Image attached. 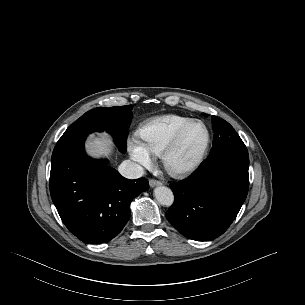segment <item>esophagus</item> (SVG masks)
<instances>
[{
    "mask_svg": "<svg viewBox=\"0 0 305 305\" xmlns=\"http://www.w3.org/2000/svg\"><path fill=\"white\" fill-rule=\"evenodd\" d=\"M149 185H150V187H156V186L162 185V182L155 180V179H151L149 181Z\"/></svg>",
    "mask_w": 305,
    "mask_h": 305,
    "instance_id": "34e87169",
    "label": "esophagus"
}]
</instances>
